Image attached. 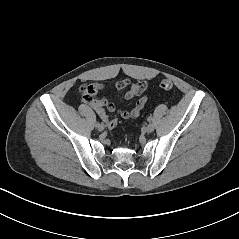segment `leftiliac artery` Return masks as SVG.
I'll return each instance as SVG.
<instances>
[{
  "label": "left iliac artery",
  "mask_w": 239,
  "mask_h": 239,
  "mask_svg": "<svg viewBox=\"0 0 239 239\" xmlns=\"http://www.w3.org/2000/svg\"><path fill=\"white\" fill-rule=\"evenodd\" d=\"M147 120H148L149 122H151V121H152V117H148Z\"/></svg>",
  "instance_id": "1"
}]
</instances>
